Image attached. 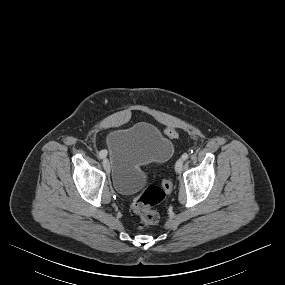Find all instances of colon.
I'll use <instances>...</instances> for the list:
<instances>
[{"instance_id": "obj_1", "label": "colon", "mask_w": 285, "mask_h": 285, "mask_svg": "<svg viewBox=\"0 0 285 285\" xmlns=\"http://www.w3.org/2000/svg\"><path fill=\"white\" fill-rule=\"evenodd\" d=\"M166 136L173 140L179 135L176 128L169 127L165 131ZM172 182L164 180L162 185L148 186L133 200V210L136 215V225L143 229L159 222V213L154 209L156 205L163 201L166 193L172 189Z\"/></svg>"}]
</instances>
